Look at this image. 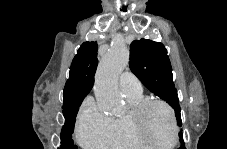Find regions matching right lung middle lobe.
<instances>
[{
  "label": "right lung middle lobe",
  "mask_w": 227,
  "mask_h": 149,
  "mask_svg": "<svg viewBox=\"0 0 227 149\" xmlns=\"http://www.w3.org/2000/svg\"><path fill=\"white\" fill-rule=\"evenodd\" d=\"M83 99L68 106H63V115L65 118V125L61 131V149H75L76 145L73 143L72 134L78 109Z\"/></svg>",
  "instance_id": "obj_1"
}]
</instances>
